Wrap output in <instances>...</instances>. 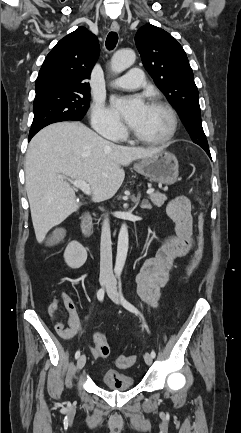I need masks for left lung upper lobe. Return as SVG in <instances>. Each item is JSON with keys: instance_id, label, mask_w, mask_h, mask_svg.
Segmentation results:
<instances>
[{"instance_id": "left-lung-upper-lobe-1", "label": "left lung upper lobe", "mask_w": 241, "mask_h": 433, "mask_svg": "<svg viewBox=\"0 0 241 433\" xmlns=\"http://www.w3.org/2000/svg\"><path fill=\"white\" fill-rule=\"evenodd\" d=\"M135 43L144 67L179 111L192 141L208 148L202 128L198 89L181 45L168 32L151 24L137 31Z\"/></svg>"}]
</instances>
